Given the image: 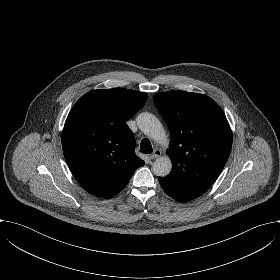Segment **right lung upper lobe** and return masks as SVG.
I'll return each instance as SVG.
<instances>
[{
	"mask_svg": "<svg viewBox=\"0 0 280 280\" xmlns=\"http://www.w3.org/2000/svg\"><path fill=\"white\" fill-rule=\"evenodd\" d=\"M148 95L125 88L93 90L73 106L62 132L65 160L90 194L110 198L120 192L145 162L134 152L126 121Z\"/></svg>",
	"mask_w": 280,
	"mask_h": 280,
	"instance_id": "1",
	"label": "right lung upper lobe"
}]
</instances>
